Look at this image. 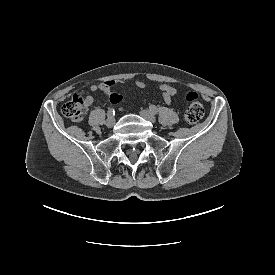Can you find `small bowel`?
<instances>
[{"label": "small bowel", "mask_w": 275, "mask_h": 275, "mask_svg": "<svg viewBox=\"0 0 275 275\" xmlns=\"http://www.w3.org/2000/svg\"><path fill=\"white\" fill-rule=\"evenodd\" d=\"M117 83L116 80H106L103 81L99 84H93L90 86V92L91 93H95L98 91H101L103 93H106L108 95L109 101L112 104H118L122 101L123 97L121 94L114 92L112 89L115 86V84ZM135 85L139 88V89H145L147 84L144 81L141 80H137L135 82ZM158 90L160 92V95L162 96L165 104L170 105L173 102V98L174 96H176L177 94V89L169 84V83H162L158 86ZM89 105H91L93 103V97L91 94H87L86 95ZM120 111L123 110L122 107L118 108Z\"/></svg>", "instance_id": "obj_1"}]
</instances>
